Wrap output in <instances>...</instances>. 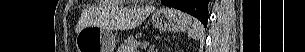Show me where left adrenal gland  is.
<instances>
[{
	"label": "left adrenal gland",
	"mask_w": 305,
	"mask_h": 52,
	"mask_svg": "<svg viewBox=\"0 0 305 52\" xmlns=\"http://www.w3.org/2000/svg\"><path fill=\"white\" fill-rule=\"evenodd\" d=\"M154 49H155V45H152V46L149 48V52H154Z\"/></svg>",
	"instance_id": "left-adrenal-gland-1"
}]
</instances>
